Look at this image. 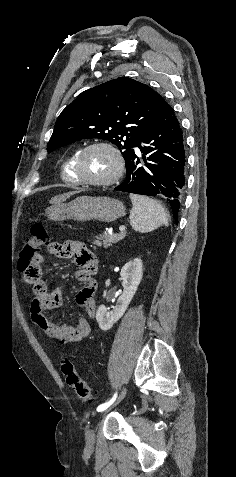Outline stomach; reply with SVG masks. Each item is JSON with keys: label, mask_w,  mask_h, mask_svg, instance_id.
I'll use <instances>...</instances> for the list:
<instances>
[{"label": "stomach", "mask_w": 236, "mask_h": 477, "mask_svg": "<svg viewBox=\"0 0 236 477\" xmlns=\"http://www.w3.org/2000/svg\"><path fill=\"white\" fill-rule=\"evenodd\" d=\"M45 215L53 221L95 219L110 223L125 215V207L121 201L109 197L80 196L69 203L53 204L46 209Z\"/></svg>", "instance_id": "0dacf381"}]
</instances>
